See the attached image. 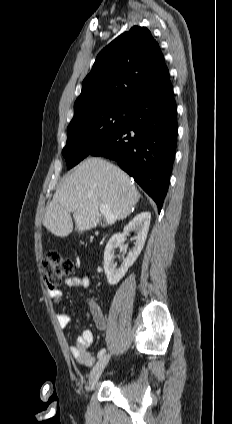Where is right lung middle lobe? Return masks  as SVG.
Returning a JSON list of instances; mask_svg holds the SVG:
<instances>
[{"mask_svg":"<svg viewBox=\"0 0 232 424\" xmlns=\"http://www.w3.org/2000/svg\"><path fill=\"white\" fill-rule=\"evenodd\" d=\"M131 106L101 105L75 115L67 128V144L62 150L70 169L96 147L122 128L129 119Z\"/></svg>","mask_w":232,"mask_h":424,"instance_id":"1","label":"right lung middle lobe"}]
</instances>
